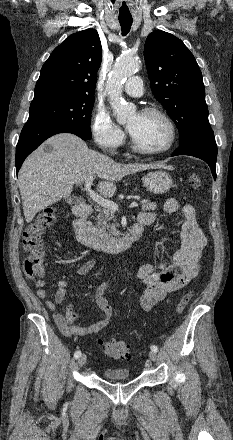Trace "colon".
Segmentation results:
<instances>
[{
	"label": "colon",
	"mask_w": 233,
	"mask_h": 440,
	"mask_svg": "<svg viewBox=\"0 0 233 440\" xmlns=\"http://www.w3.org/2000/svg\"><path fill=\"white\" fill-rule=\"evenodd\" d=\"M189 185L198 188L201 184V178L197 174H192L188 179ZM57 211L53 207L42 210L36 220L25 230L23 234V249L26 258L23 263L24 273L28 278L34 279L43 275V262L45 257V246L42 235L56 221ZM193 297L192 292L185 293L176 306V314H180L190 303ZM103 352L114 359L129 360L133 357L134 351L131 347L121 340L97 341Z\"/></svg>",
	"instance_id": "5ec220e1"
}]
</instances>
